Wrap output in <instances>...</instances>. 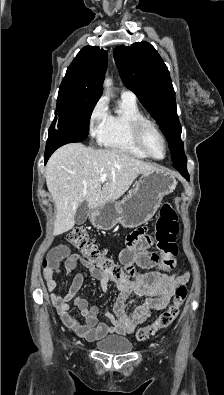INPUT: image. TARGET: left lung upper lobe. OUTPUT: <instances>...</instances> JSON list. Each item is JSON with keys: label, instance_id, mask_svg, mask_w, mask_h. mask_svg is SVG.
Listing matches in <instances>:
<instances>
[{"label": "left lung upper lobe", "instance_id": "5c2ea615", "mask_svg": "<svg viewBox=\"0 0 224 395\" xmlns=\"http://www.w3.org/2000/svg\"><path fill=\"white\" fill-rule=\"evenodd\" d=\"M114 59L124 85L136 94L166 136L172 162L182 160L185 154L175 92L168 68L158 52L148 42H136L116 47Z\"/></svg>", "mask_w": 224, "mask_h": 395}]
</instances>
